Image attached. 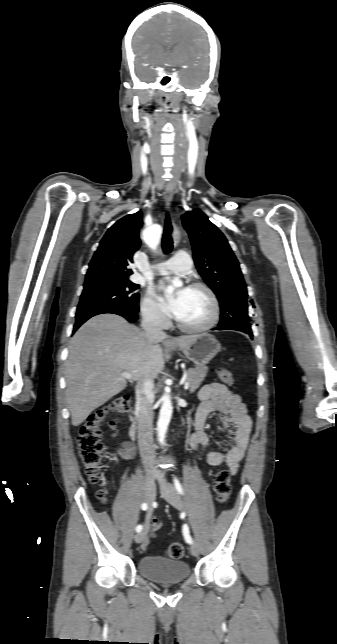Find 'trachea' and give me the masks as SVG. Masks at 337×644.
Masks as SVG:
<instances>
[{
    "instance_id": "1",
    "label": "trachea",
    "mask_w": 337,
    "mask_h": 644,
    "mask_svg": "<svg viewBox=\"0 0 337 644\" xmlns=\"http://www.w3.org/2000/svg\"><path fill=\"white\" fill-rule=\"evenodd\" d=\"M172 225L169 216L167 215L165 220L164 236L162 242V248L165 253H169L173 248V240L171 238Z\"/></svg>"
}]
</instances>
